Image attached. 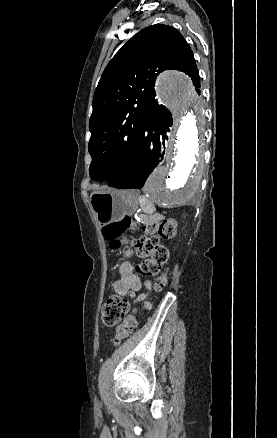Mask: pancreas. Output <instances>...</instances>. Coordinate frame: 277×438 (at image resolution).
I'll return each instance as SVG.
<instances>
[{
	"instance_id": "pancreas-1",
	"label": "pancreas",
	"mask_w": 277,
	"mask_h": 438,
	"mask_svg": "<svg viewBox=\"0 0 277 438\" xmlns=\"http://www.w3.org/2000/svg\"><path fill=\"white\" fill-rule=\"evenodd\" d=\"M138 222L143 223H158L159 222V215L158 214H140L137 217Z\"/></svg>"
}]
</instances>
